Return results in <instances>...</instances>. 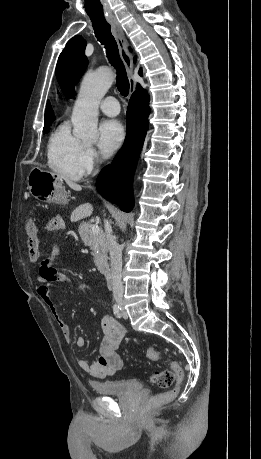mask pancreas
<instances>
[{"label": "pancreas", "mask_w": 261, "mask_h": 459, "mask_svg": "<svg viewBox=\"0 0 261 459\" xmlns=\"http://www.w3.org/2000/svg\"><path fill=\"white\" fill-rule=\"evenodd\" d=\"M91 227L92 224L82 222L78 232L84 244L90 247L94 263L100 269L107 265V243L104 232L101 230L98 234H92Z\"/></svg>", "instance_id": "pancreas-1"}]
</instances>
